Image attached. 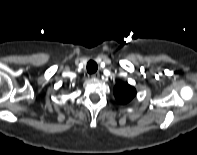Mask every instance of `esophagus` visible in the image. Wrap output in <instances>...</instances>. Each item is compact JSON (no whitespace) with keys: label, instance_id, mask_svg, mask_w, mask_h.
Instances as JSON below:
<instances>
[{"label":"esophagus","instance_id":"34e87169","mask_svg":"<svg viewBox=\"0 0 197 155\" xmlns=\"http://www.w3.org/2000/svg\"><path fill=\"white\" fill-rule=\"evenodd\" d=\"M92 78L98 79L100 77V74L98 72H95L91 75Z\"/></svg>","mask_w":197,"mask_h":155}]
</instances>
